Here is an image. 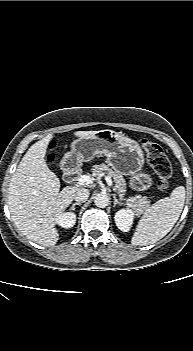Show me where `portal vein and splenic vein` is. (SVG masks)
<instances>
[{
  "mask_svg": "<svg viewBox=\"0 0 193 351\" xmlns=\"http://www.w3.org/2000/svg\"><path fill=\"white\" fill-rule=\"evenodd\" d=\"M105 180H106V182H107V184L109 185V186H112V180H111V178L109 177V176H106V178H105ZM77 181H78V184L79 185H88V184H90L91 183V178H90V176H88V175H81L78 179H77Z\"/></svg>",
  "mask_w": 193,
  "mask_h": 351,
  "instance_id": "obj_1",
  "label": "portal vein and splenic vein"
}]
</instances>
